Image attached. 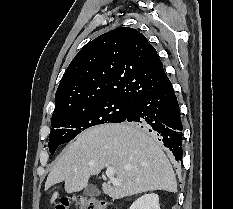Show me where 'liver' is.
<instances>
[{"instance_id": "liver-1", "label": "liver", "mask_w": 233, "mask_h": 209, "mask_svg": "<svg viewBox=\"0 0 233 209\" xmlns=\"http://www.w3.org/2000/svg\"><path fill=\"white\" fill-rule=\"evenodd\" d=\"M112 167L120 185L102 184L105 195L121 199L154 190L177 191L172 166L155 138L134 124H104L82 132L60 155L45 189L65 182L67 193L85 188L91 175ZM54 192L51 203L58 197Z\"/></svg>"}]
</instances>
